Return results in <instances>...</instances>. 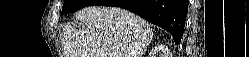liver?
<instances>
[{
  "instance_id": "1",
  "label": "liver",
  "mask_w": 249,
  "mask_h": 57,
  "mask_svg": "<svg viewBox=\"0 0 249 57\" xmlns=\"http://www.w3.org/2000/svg\"><path fill=\"white\" fill-rule=\"evenodd\" d=\"M76 19L85 28L65 26V57H142L153 38L147 21L118 7L89 6Z\"/></svg>"
}]
</instances>
